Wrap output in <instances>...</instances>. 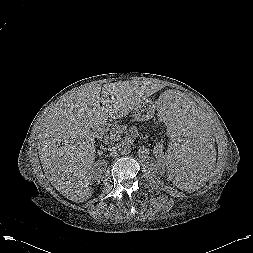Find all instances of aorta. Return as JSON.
Returning <instances> with one entry per match:
<instances>
[{"label":"aorta","mask_w":253,"mask_h":253,"mask_svg":"<svg viewBox=\"0 0 253 253\" xmlns=\"http://www.w3.org/2000/svg\"><path fill=\"white\" fill-rule=\"evenodd\" d=\"M118 151L122 155H127L131 152V145L128 142H121L118 144Z\"/></svg>","instance_id":"762f6f07"}]
</instances>
